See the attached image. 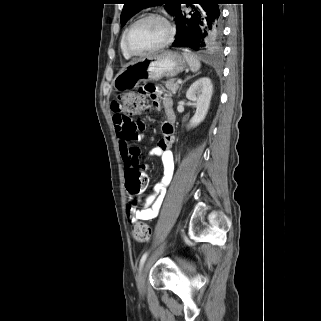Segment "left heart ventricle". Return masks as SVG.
<instances>
[{
  "instance_id": "b2bd125f",
  "label": "left heart ventricle",
  "mask_w": 321,
  "mask_h": 321,
  "mask_svg": "<svg viewBox=\"0 0 321 321\" xmlns=\"http://www.w3.org/2000/svg\"><path fill=\"white\" fill-rule=\"evenodd\" d=\"M167 36L164 23L158 19H146L129 33L128 46L134 52H143L159 45Z\"/></svg>"
}]
</instances>
